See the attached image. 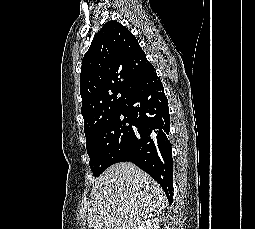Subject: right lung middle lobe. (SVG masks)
Segmentation results:
<instances>
[{"mask_svg":"<svg viewBox=\"0 0 255 229\" xmlns=\"http://www.w3.org/2000/svg\"><path fill=\"white\" fill-rule=\"evenodd\" d=\"M133 122L120 111L103 122L87 139L90 168L98 177L109 166L126 161L132 150Z\"/></svg>","mask_w":255,"mask_h":229,"instance_id":"right-lung-middle-lobe-1","label":"right lung middle lobe"}]
</instances>
